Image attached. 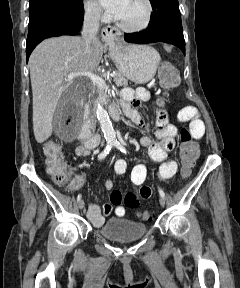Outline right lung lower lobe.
I'll return each mask as SVG.
<instances>
[{"instance_id": "obj_1", "label": "right lung lower lobe", "mask_w": 240, "mask_h": 288, "mask_svg": "<svg viewBox=\"0 0 240 288\" xmlns=\"http://www.w3.org/2000/svg\"><path fill=\"white\" fill-rule=\"evenodd\" d=\"M84 9L80 11L55 10L29 24L26 56L43 40L53 36L76 35L83 24Z\"/></svg>"}]
</instances>
